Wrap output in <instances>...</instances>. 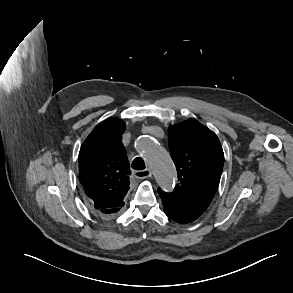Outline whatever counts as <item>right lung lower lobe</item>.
<instances>
[{"instance_id": "98d812e1", "label": "right lung lower lobe", "mask_w": 293, "mask_h": 293, "mask_svg": "<svg viewBox=\"0 0 293 293\" xmlns=\"http://www.w3.org/2000/svg\"><path fill=\"white\" fill-rule=\"evenodd\" d=\"M120 209H109V210H96V213L104 218L112 217L115 213H117Z\"/></svg>"}]
</instances>
